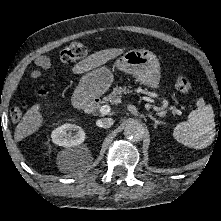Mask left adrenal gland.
I'll return each instance as SVG.
<instances>
[{
    "instance_id": "1",
    "label": "left adrenal gland",
    "mask_w": 221,
    "mask_h": 221,
    "mask_svg": "<svg viewBox=\"0 0 221 221\" xmlns=\"http://www.w3.org/2000/svg\"><path fill=\"white\" fill-rule=\"evenodd\" d=\"M148 117L155 122L154 128H157L158 125L163 124L162 121L157 120V119L154 118L151 114H148Z\"/></svg>"
}]
</instances>
